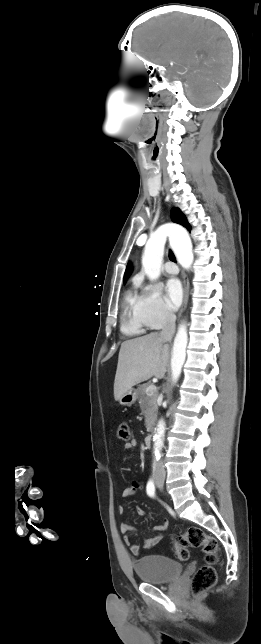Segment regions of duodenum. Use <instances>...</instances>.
<instances>
[{"mask_svg": "<svg viewBox=\"0 0 261 644\" xmlns=\"http://www.w3.org/2000/svg\"><path fill=\"white\" fill-rule=\"evenodd\" d=\"M152 439H153V436H152L151 434H148V435H146V436H145V438H144V445H145L147 448L151 446V444H152Z\"/></svg>", "mask_w": 261, "mask_h": 644, "instance_id": "obj_1", "label": "duodenum"}]
</instances>
